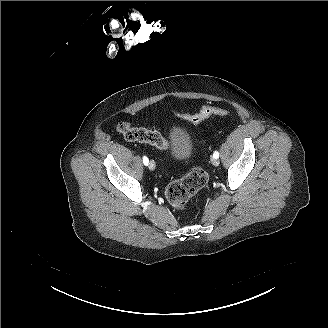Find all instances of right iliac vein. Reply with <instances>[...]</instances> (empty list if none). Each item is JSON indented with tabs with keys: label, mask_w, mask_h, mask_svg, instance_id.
<instances>
[{
	"label": "right iliac vein",
	"mask_w": 328,
	"mask_h": 328,
	"mask_svg": "<svg viewBox=\"0 0 328 328\" xmlns=\"http://www.w3.org/2000/svg\"><path fill=\"white\" fill-rule=\"evenodd\" d=\"M148 168L150 169V170H155V168H156V165H155V162H154V160H150V162H149V164H148Z\"/></svg>",
	"instance_id": "right-iliac-vein-1"
}]
</instances>
